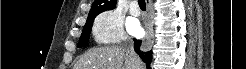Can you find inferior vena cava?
I'll use <instances>...</instances> for the list:
<instances>
[{"label": "inferior vena cava", "mask_w": 246, "mask_h": 69, "mask_svg": "<svg viewBox=\"0 0 246 69\" xmlns=\"http://www.w3.org/2000/svg\"><path fill=\"white\" fill-rule=\"evenodd\" d=\"M122 47H124L128 52H129V58L132 61V63L134 64L133 69H138V62H139V57L137 56V54L134 51V47H133V43L129 42L126 43V41L123 43Z\"/></svg>", "instance_id": "1"}]
</instances>
